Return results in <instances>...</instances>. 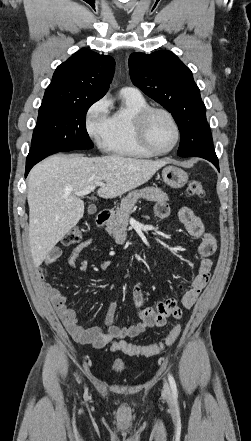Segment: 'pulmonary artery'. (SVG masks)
Instances as JSON below:
<instances>
[{
  "instance_id": "pulmonary-artery-1",
  "label": "pulmonary artery",
  "mask_w": 251,
  "mask_h": 441,
  "mask_svg": "<svg viewBox=\"0 0 251 441\" xmlns=\"http://www.w3.org/2000/svg\"><path fill=\"white\" fill-rule=\"evenodd\" d=\"M122 90H133V91H138L136 88L134 87H124Z\"/></svg>"
}]
</instances>
